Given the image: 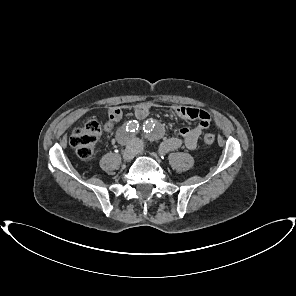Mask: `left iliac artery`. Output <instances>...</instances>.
<instances>
[{"label":"left iliac artery","mask_w":296,"mask_h":296,"mask_svg":"<svg viewBox=\"0 0 296 296\" xmlns=\"http://www.w3.org/2000/svg\"><path fill=\"white\" fill-rule=\"evenodd\" d=\"M146 124H147V122H146ZM143 129H144V132H147V133H148V125H144ZM151 130H152V129H151ZM149 132H150V131H149Z\"/></svg>","instance_id":"obj_1"}]
</instances>
